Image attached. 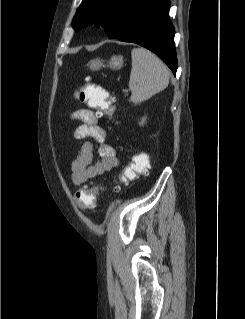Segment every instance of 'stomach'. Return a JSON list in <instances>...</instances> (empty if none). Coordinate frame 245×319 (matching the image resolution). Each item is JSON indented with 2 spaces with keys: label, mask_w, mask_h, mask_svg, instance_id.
Wrapping results in <instances>:
<instances>
[{
  "label": "stomach",
  "mask_w": 245,
  "mask_h": 319,
  "mask_svg": "<svg viewBox=\"0 0 245 319\" xmlns=\"http://www.w3.org/2000/svg\"><path fill=\"white\" fill-rule=\"evenodd\" d=\"M123 65V57L122 56H113L109 62V66L112 69H120ZM103 66L99 59H96L91 62L92 69H99Z\"/></svg>",
  "instance_id": "1"
}]
</instances>
